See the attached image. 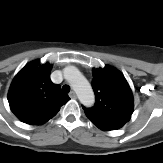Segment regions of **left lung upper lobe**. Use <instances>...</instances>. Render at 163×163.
<instances>
[{
    "label": "left lung upper lobe",
    "mask_w": 163,
    "mask_h": 163,
    "mask_svg": "<svg viewBox=\"0 0 163 163\" xmlns=\"http://www.w3.org/2000/svg\"><path fill=\"white\" fill-rule=\"evenodd\" d=\"M92 87L96 103L92 108L83 107L92 123L123 126L129 121L134 109L133 95L120 71L111 66L93 69Z\"/></svg>",
    "instance_id": "left-lung-upper-lobe-1"
}]
</instances>
